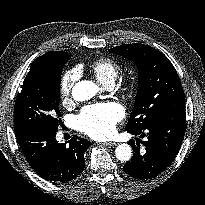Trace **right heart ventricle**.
I'll use <instances>...</instances> for the list:
<instances>
[{
	"instance_id": "obj_1",
	"label": "right heart ventricle",
	"mask_w": 205,
	"mask_h": 205,
	"mask_svg": "<svg viewBox=\"0 0 205 205\" xmlns=\"http://www.w3.org/2000/svg\"><path fill=\"white\" fill-rule=\"evenodd\" d=\"M90 69L103 84L111 85L118 77L121 66L115 59L101 57L91 63Z\"/></svg>"
}]
</instances>
